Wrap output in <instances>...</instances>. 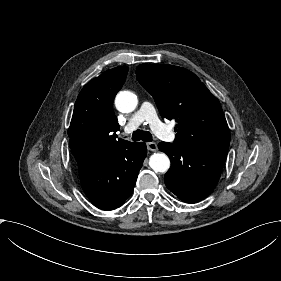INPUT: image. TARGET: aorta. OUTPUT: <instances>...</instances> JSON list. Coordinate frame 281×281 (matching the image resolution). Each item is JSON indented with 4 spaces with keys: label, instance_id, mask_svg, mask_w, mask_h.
I'll return each mask as SVG.
<instances>
[{
    "label": "aorta",
    "instance_id": "obj_1",
    "mask_svg": "<svg viewBox=\"0 0 281 281\" xmlns=\"http://www.w3.org/2000/svg\"><path fill=\"white\" fill-rule=\"evenodd\" d=\"M138 104L137 96L130 91H121L116 95L115 106L122 113L132 112ZM149 166L155 171L164 173L170 168V160L164 153H154L149 158Z\"/></svg>",
    "mask_w": 281,
    "mask_h": 281
}]
</instances>
